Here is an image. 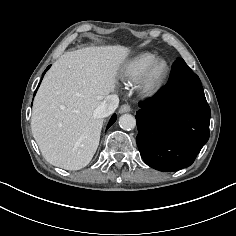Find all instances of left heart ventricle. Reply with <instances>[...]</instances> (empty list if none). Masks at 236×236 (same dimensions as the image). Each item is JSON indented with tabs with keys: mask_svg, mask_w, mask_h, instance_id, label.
I'll list each match as a JSON object with an SVG mask.
<instances>
[{
	"mask_svg": "<svg viewBox=\"0 0 236 236\" xmlns=\"http://www.w3.org/2000/svg\"><path fill=\"white\" fill-rule=\"evenodd\" d=\"M161 70H162V67H160V68L158 69V71H157V73H156V76H158V75L160 74Z\"/></svg>",
	"mask_w": 236,
	"mask_h": 236,
	"instance_id": "obj_1",
	"label": "left heart ventricle"
}]
</instances>
